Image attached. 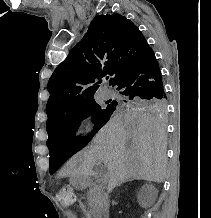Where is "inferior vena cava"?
<instances>
[{
	"mask_svg": "<svg viewBox=\"0 0 211 218\" xmlns=\"http://www.w3.org/2000/svg\"><path fill=\"white\" fill-rule=\"evenodd\" d=\"M115 186H118V182H113V180H109L108 188H115Z\"/></svg>",
	"mask_w": 211,
	"mask_h": 218,
	"instance_id": "1",
	"label": "inferior vena cava"
}]
</instances>
